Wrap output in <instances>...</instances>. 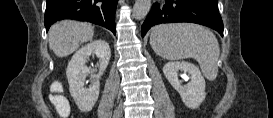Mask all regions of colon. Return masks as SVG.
Listing matches in <instances>:
<instances>
[{
  "label": "colon",
  "instance_id": "1",
  "mask_svg": "<svg viewBox=\"0 0 273 118\" xmlns=\"http://www.w3.org/2000/svg\"><path fill=\"white\" fill-rule=\"evenodd\" d=\"M60 89V85L56 84L53 86L54 94L51 97V101L54 104L57 112L62 116L65 117L69 113V105L66 100V98L60 94L57 93V91Z\"/></svg>",
  "mask_w": 273,
  "mask_h": 118
}]
</instances>
